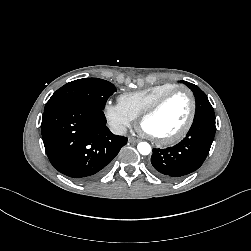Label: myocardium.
Segmentation results:
<instances>
[{
    "mask_svg": "<svg viewBox=\"0 0 251 251\" xmlns=\"http://www.w3.org/2000/svg\"><path fill=\"white\" fill-rule=\"evenodd\" d=\"M179 92H185L188 95V97L190 99V104H191L190 113H189L188 119H187L186 123L184 124V126L176 134H174L170 137H166V138H157V137H154V136L146 133L142 128L143 122L147 118L151 117L156 112H158L160 110V108L173 95H175ZM196 110H197V104H196V99H195L193 92L187 87L177 86V87L167 91L166 93H164L154 103H152L147 109H145L138 117V125L142 129V131L148 136V138L153 140L155 143H157L159 145L175 144V143L181 141L190 131V129L194 123V119L196 116Z\"/></svg>",
    "mask_w": 251,
    "mask_h": 251,
    "instance_id": "f54148a6",
    "label": "myocardium"
}]
</instances>
